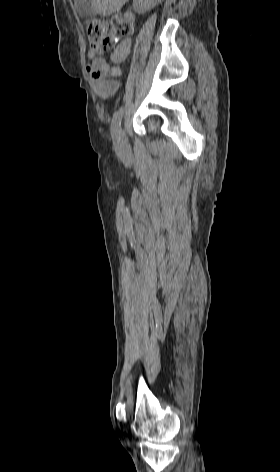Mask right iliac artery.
I'll list each match as a JSON object with an SVG mask.
<instances>
[{"mask_svg": "<svg viewBox=\"0 0 280 472\" xmlns=\"http://www.w3.org/2000/svg\"><path fill=\"white\" fill-rule=\"evenodd\" d=\"M123 115V109L120 108L114 115L111 124V135L115 144L119 143L120 140V126Z\"/></svg>", "mask_w": 280, "mask_h": 472, "instance_id": "1", "label": "right iliac artery"}]
</instances>
